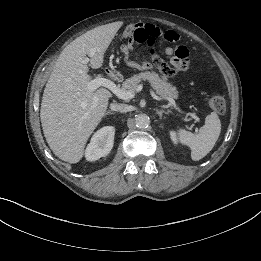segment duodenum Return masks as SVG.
<instances>
[{
    "label": "duodenum",
    "instance_id": "410a0bca",
    "mask_svg": "<svg viewBox=\"0 0 261 261\" xmlns=\"http://www.w3.org/2000/svg\"><path fill=\"white\" fill-rule=\"evenodd\" d=\"M107 75L110 77V78H113V79H118V75L114 72H111V71H108L107 72Z\"/></svg>",
    "mask_w": 261,
    "mask_h": 261
}]
</instances>
